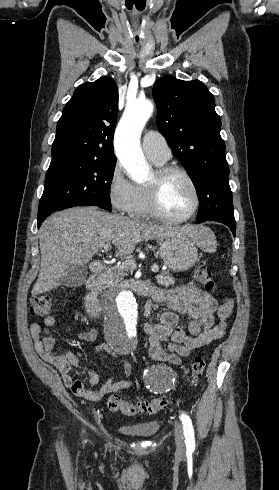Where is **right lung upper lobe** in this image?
<instances>
[{"label":"right lung upper lobe","mask_w":279,"mask_h":490,"mask_svg":"<svg viewBox=\"0 0 279 490\" xmlns=\"http://www.w3.org/2000/svg\"><path fill=\"white\" fill-rule=\"evenodd\" d=\"M118 88L109 77L76 88L57 123L51 164L80 158L115 157L113 134Z\"/></svg>","instance_id":"1"}]
</instances>
